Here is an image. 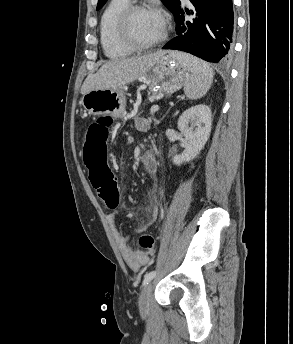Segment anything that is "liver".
Wrapping results in <instances>:
<instances>
[{
    "instance_id": "liver-1",
    "label": "liver",
    "mask_w": 293,
    "mask_h": 344,
    "mask_svg": "<svg viewBox=\"0 0 293 344\" xmlns=\"http://www.w3.org/2000/svg\"><path fill=\"white\" fill-rule=\"evenodd\" d=\"M165 54L164 51H158L143 56L106 62L95 74L88 75L82 85L81 94L84 95L89 91L99 89L115 90L132 83L150 70L156 61Z\"/></svg>"
}]
</instances>
